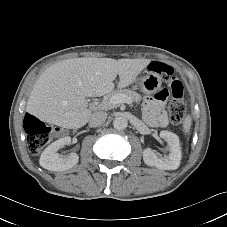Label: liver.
<instances>
[{
    "label": "liver",
    "instance_id": "1",
    "mask_svg": "<svg viewBox=\"0 0 227 227\" xmlns=\"http://www.w3.org/2000/svg\"><path fill=\"white\" fill-rule=\"evenodd\" d=\"M150 59L73 58L47 68L29 95L26 111L67 129L84 126L92 116L86 97H100L131 85Z\"/></svg>",
    "mask_w": 227,
    "mask_h": 227
}]
</instances>
